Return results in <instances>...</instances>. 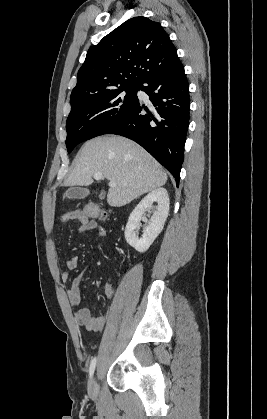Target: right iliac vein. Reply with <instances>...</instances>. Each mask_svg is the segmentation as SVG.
Instances as JSON below:
<instances>
[{"label":"right iliac vein","mask_w":267,"mask_h":419,"mask_svg":"<svg viewBox=\"0 0 267 419\" xmlns=\"http://www.w3.org/2000/svg\"><path fill=\"white\" fill-rule=\"evenodd\" d=\"M88 391H89V394L91 396H93V397L96 396V394H97V380H96V377H93L90 380L89 386H88Z\"/></svg>","instance_id":"1"}]
</instances>
